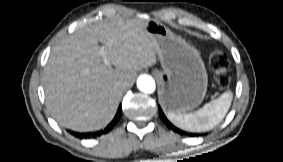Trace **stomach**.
Instances as JSON below:
<instances>
[{
	"instance_id": "1",
	"label": "stomach",
	"mask_w": 283,
	"mask_h": 162,
	"mask_svg": "<svg viewBox=\"0 0 283 162\" xmlns=\"http://www.w3.org/2000/svg\"><path fill=\"white\" fill-rule=\"evenodd\" d=\"M144 30L153 42L162 71H156L159 96L167 111H184L200 104L207 73L199 52L159 21L148 19Z\"/></svg>"
}]
</instances>
